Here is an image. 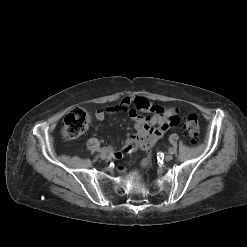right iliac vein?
Wrapping results in <instances>:
<instances>
[{
	"label": "right iliac vein",
	"instance_id": "1",
	"mask_svg": "<svg viewBox=\"0 0 247 247\" xmlns=\"http://www.w3.org/2000/svg\"><path fill=\"white\" fill-rule=\"evenodd\" d=\"M100 158L103 160H106V159H108V154L107 153H101Z\"/></svg>",
	"mask_w": 247,
	"mask_h": 247
}]
</instances>
